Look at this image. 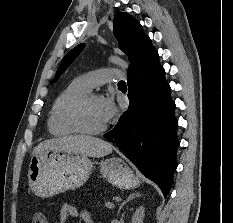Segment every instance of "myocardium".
Returning a JSON list of instances; mask_svg holds the SVG:
<instances>
[{"label": "myocardium", "mask_w": 233, "mask_h": 223, "mask_svg": "<svg viewBox=\"0 0 233 223\" xmlns=\"http://www.w3.org/2000/svg\"><path fill=\"white\" fill-rule=\"evenodd\" d=\"M93 98H98L95 94H88L81 100H79L72 108L69 115V122L72 128L76 131V133L84 135V136H96L101 134L105 129L106 125H102L98 129L89 130L83 124V116L86 109L87 104Z\"/></svg>", "instance_id": "myocardium-1"}]
</instances>
